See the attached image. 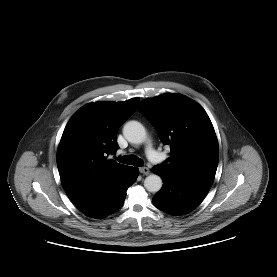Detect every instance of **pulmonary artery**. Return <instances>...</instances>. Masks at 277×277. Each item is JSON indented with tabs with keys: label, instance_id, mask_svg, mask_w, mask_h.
Returning a JSON list of instances; mask_svg holds the SVG:
<instances>
[{
	"label": "pulmonary artery",
	"instance_id": "e3ab8cb5",
	"mask_svg": "<svg viewBox=\"0 0 277 277\" xmlns=\"http://www.w3.org/2000/svg\"><path fill=\"white\" fill-rule=\"evenodd\" d=\"M146 154L152 162H158L160 160V154L152 147L151 143L147 145Z\"/></svg>",
	"mask_w": 277,
	"mask_h": 277
}]
</instances>
